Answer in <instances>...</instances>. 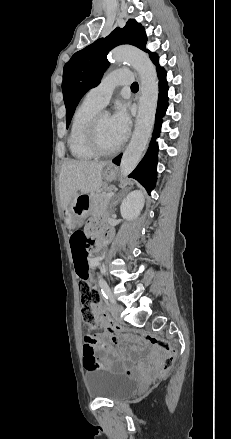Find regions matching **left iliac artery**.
Returning <instances> with one entry per match:
<instances>
[{"instance_id": "1", "label": "left iliac artery", "mask_w": 231, "mask_h": 439, "mask_svg": "<svg viewBox=\"0 0 231 439\" xmlns=\"http://www.w3.org/2000/svg\"><path fill=\"white\" fill-rule=\"evenodd\" d=\"M99 285L101 287V292L106 299L114 302V298L112 296V292L104 279L99 280Z\"/></svg>"}]
</instances>
